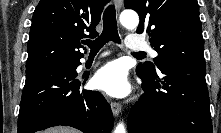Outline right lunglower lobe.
Segmentation results:
<instances>
[{
    "label": "right lung lower lobe",
    "mask_w": 221,
    "mask_h": 133,
    "mask_svg": "<svg viewBox=\"0 0 221 133\" xmlns=\"http://www.w3.org/2000/svg\"><path fill=\"white\" fill-rule=\"evenodd\" d=\"M80 62H57L26 69L18 133H34L66 125L84 133H111L114 119L100 92L79 90L88 76L77 79Z\"/></svg>",
    "instance_id": "98d812e1"
}]
</instances>
